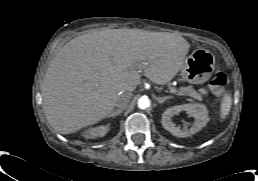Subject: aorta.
<instances>
[{"label": "aorta", "instance_id": "762f6f07", "mask_svg": "<svg viewBox=\"0 0 258 181\" xmlns=\"http://www.w3.org/2000/svg\"><path fill=\"white\" fill-rule=\"evenodd\" d=\"M150 106V99L147 96H142L138 99V107L140 109H146Z\"/></svg>", "mask_w": 258, "mask_h": 181}]
</instances>
